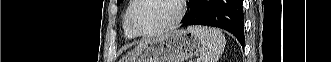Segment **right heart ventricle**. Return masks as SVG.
I'll return each mask as SVG.
<instances>
[{"mask_svg":"<svg viewBox=\"0 0 331 62\" xmlns=\"http://www.w3.org/2000/svg\"><path fill=\"white\" fill-rule=\"evenodd\" d=\"M133 2H130L126 8V11L124 13L123 16V32H124V36L128 39H134L136 37V35L131 31L129 23H128V14L129 11L131 9Z\"/></svg>","mask_w":331,"mask_h":62,"instance_id":"1","label":"right heart ventricle"}]
</instances>
